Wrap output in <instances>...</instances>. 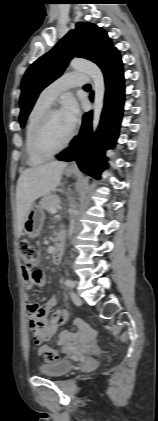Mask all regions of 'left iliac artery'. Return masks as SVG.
<instances>
[{
	"label": "left iliac artery",
	"mask_w": 158,
	"mask_h": 421,
	"mask_svg": "<svg viewBox=\"0 0 158 421\" xmlns=\"http://www.w3.org/2000/svg\"><path fill=\"white\" fill-rule=\"evenodd\" d=\"M65 285H66V286H68V287L73 288V287L75 286V283H74L72 280L67 279V280L65 281Z\"/></svg>",
	"instance_id": "44dca946"
}]
</instances>
